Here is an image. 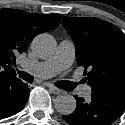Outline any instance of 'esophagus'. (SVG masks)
Instances as JSON below:
<instances>
[{"mask_svg":"<svg viewBox=\"0 0 125 125\" xmlns=\"http://www.w3.org/2000/svg\"><path fill=\"white\" fill-rule=\"evenodd\" d=\"M49 90L53 93V94H55V95H58V94H60L62 91L60 90V89H58V88H56V87H54V86H49Z\"/></svg>","mask_w":125,"mask_h":125,"instance_id":"obj_1","label":"esophagus"}]
</instances>
